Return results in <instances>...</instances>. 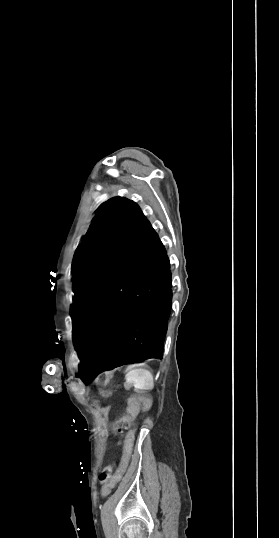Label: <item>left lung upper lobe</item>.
Segmentation results:
<instances>
[{"label":"left lung upper lobe","instance_id":"5c2ea615","mask_svg":"<svg viewBox=\"0 0 279 538\" xmlns=\"http://www.w3.org/2000/svg\"><path fill=\"white\" fill-rule=\"evenodd\" d=\"M152 227L139 206L114 197L98 211L73 259V327L128 262Z\"/></svg>","mask_w":279,"mask_h":538}]
</instances>
